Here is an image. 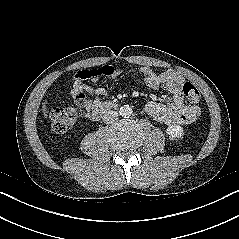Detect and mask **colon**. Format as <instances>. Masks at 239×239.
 Returning <instances> with one entry per match:
<instances>
[{
  "label": "colon",
  "instance_id": "obj_1",
  "mask_svg": "<svg viewBox=\"0 0 239 239\" xmlns=\"http://www.w3.org/2000/svg\"><path fill=\"white\" fill-rule=\"evenodd\" d=\"M96 74L98 72H95ZM182 91L191 104L200 102L201 94L199 89L191 82L182 85ZM76 118V110L73 107H61L54 109L50 114L51 128L54 133L61 134L68 131Z\"/></svg>",
  "mask_w": 239,
  "mask_h": 239
}]
</instances>
